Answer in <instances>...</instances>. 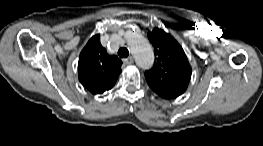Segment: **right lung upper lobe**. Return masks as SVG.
<instances>
[{"instance_id": "1", "label": "right lung upper lobe", "mask_w": 263, "mask_h": 146, "mask_svg": "<svg viewBox=\"0 0 263 146\" xmlns=\"http://www.w3.org/2000/svg\"><path fill=\"white\" fill-rule=\"evenodd\" d=\"M121 65L117 56L109 55L102 47L99 34L94 35L79 56V81L92 94H102L115 85Z\"/></svg>"}]
</instances>
